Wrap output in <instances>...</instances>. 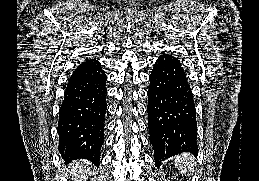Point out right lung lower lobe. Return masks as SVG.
Instances as JSON below:
<instances>
[{"instance_id": "right-lung-lower-lobe-1", "label": "right lung lower lobe", "mask_w": 259, "mask_h": 181, "mask_svg": "<svg viewBox=\"0 0 259 181\" xmlns=\"http://www.w3.org/2000/svg\"><path fill=\"white\" fill-rule=\"evenodd\" d=\"M106 74L96 59L79 64L71 75L59 110V152L66 161L88 159L99 165L104 141Z\"/></svg>"}]
</instances>
